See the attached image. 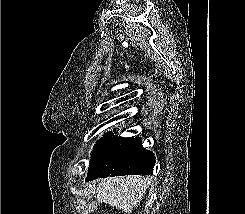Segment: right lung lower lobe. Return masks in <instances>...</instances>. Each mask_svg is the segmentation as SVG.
Segmentation results:
<instances>
[{
    "mask_svg": "<svg viewBox=\"0 0 245 214\" xmlns=\"http://www.w3.org/2000/svg\"><path fill=\"white\" fill-rule=\"evenodd\" d=\"M118 151L119 162L116 169L111 172L88 176L87 181L98 177L153 173L155 156L151 151L142 147L141 140L138 137L126 138L118 146Z\"/></svg>",
    "mask_w": 245,
    "mask_h": 214,
    "instance_id": "98d812e1",
    "label": "right lung lower lobe"
}]
</instances>
